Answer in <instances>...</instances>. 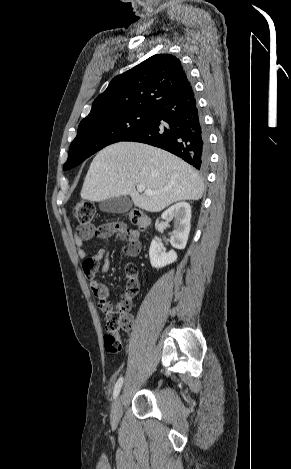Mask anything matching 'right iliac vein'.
Instances as JSON below:
<instances>
[{
    "instance_id": "63e3f726",
    "label": "right iliac vein",
    "mask_w": 291,
    "mask_h": 469,
    "mask_svg": "<svg viewBox=\"0 0 291 469\" xmlns=\"http://www.w3.org/2000/svg\"><path fill=\"white\" fill-rule=\"evenodd\" d=\"M122 409H123V394H120L113 407H112V411H111V419H112V423L113 425H117L118 424V421L121 417V414H122Z\"/></svg>"
}]
</instances>
